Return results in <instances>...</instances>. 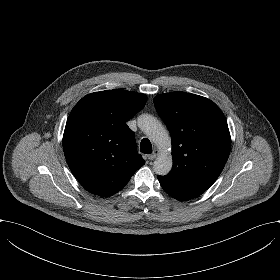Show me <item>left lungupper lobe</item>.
I'll return each instance as SVG.
<instances>
[{
	"label": "left lung upper lobe",
	"mask_w": 280,
	"mask_h": 280,
	"mask_svg": "<svg viewBox=\"0 0 280 280\" xmlns=\"http://www.w3.org/2000/svg\"><path fill=\"white\" fill-rule=\"evenodd\" d=\"M154 105L172 138L173 167L159 182L172 197L196 198L216 181L229 157L226 118L211 100L186 92L157 95Z\"/></svg>",
	"instance_id": "left-lung-upper-lobe-1"
}]
</instances>
